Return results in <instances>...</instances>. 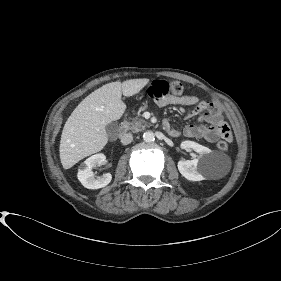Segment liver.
Here are the masks:
<instances>
[{"mask_svg": "<svg viewBox=\"0 0 281 281\" xmlns=\"http://www.w3.org/2000/svg\"><path fill=\"white\" fill-rule=\"evenodd\" d=\"M149 79L111 82L98 88L74 109L67 119L60 140V160L64 169L101 151L108 142L106 126L120 119L126 105L121 100L139 93Z\"/></svg>", "mask_w": 281, "mask_h": 281, "instance_id": "6515ba94", "label": "liver"}]
</instances>
